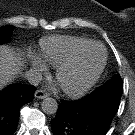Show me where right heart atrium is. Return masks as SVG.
Returning a JSON list of instances; mask_svg holds the SVG:
<instances>
[{
  "instance_id": "right-heart-atrium-1",
  "label": "right heart atrium",
  "mask_w": 135,
  "mask_h": 135,
  "mask_svg": "<svg viewBox=\"0 0 135 135\" xmlns=\"http://www.w3.org/2000/svg\"><path fill=\"white\" fill-rule=\"evenodd\" d=\"M35 63H36L39 67L43 68V64H42V62H41V60H40L39 58H35Z\"/></svg>"
}]
</instances>
